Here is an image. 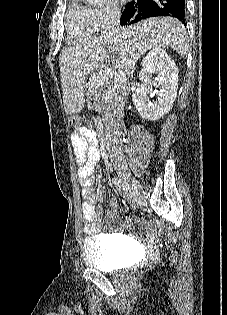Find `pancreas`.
<instances>
[{
    "label": "pancreas",
    "instance_id": "pancreas-1",
    "mask_svg": "<svg viewBox=\"0 0 227 315\" xmlns=\"http://www.w3.org/2000/svg\"><path fill=\"white\" fill-rule=\"evenodd\" d=\"M93 79L94 77H92L89 81V96L93 100V105L102 114L104 124L107 128H109L111 126L113 116V94L108 95L105 90L99 88V85L93 84Z\"/></svg>",
    "mask_w": 227,
    "mask_h": 315
}]
</instances>
